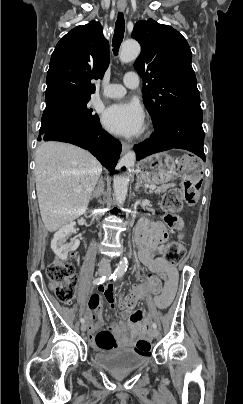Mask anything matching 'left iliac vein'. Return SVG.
Masks as SVG:
<instances>
[{"mask_svg": "<svg viewBox=\"0 0 243 404\" xmlns=\"http://www.w3.org/2000/svg\"><path fill=\"white\" fill-rule=\"evenodd\" d=\"M152 336H153L154 338H158V337H159V331H158L157 329H153V330H152Z\"/></svg>", "mask_w": 243, "mask_h": 404, "instance_id": "obj_1", "label": "left iliac vein"}]
</instances>
